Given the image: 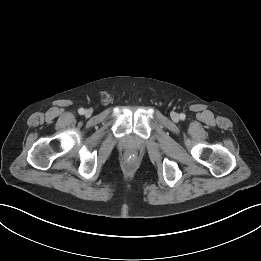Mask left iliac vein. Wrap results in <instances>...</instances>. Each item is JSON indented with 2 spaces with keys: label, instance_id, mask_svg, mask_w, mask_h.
<instances>
[{
  "label": "left iliac vein",
  "instance_id": "left-iliac-vein-1",
  "mask_svg": "<svg viewBox=\"0 0 261 261\" xmlns=\"http://www.w3.org/2000/svg\"><path fill=\"white\" fill-rule=\"evenodd\" d=\"M172 119L177 121L179 119V115L177 113H172Z\"/></svg>",
  "mask_w": 261,
  "mask_h": 261
}]
</instances>
